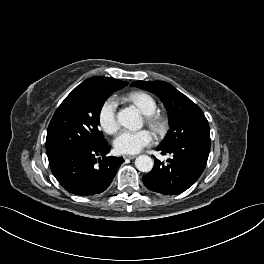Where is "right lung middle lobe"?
<instances>
[{
  "mask_svg": "<svg viewBox=\"0 0 264 264\" xmlns=\"http://www.w3.org/2000/svg\"><path fill=\"white\" fill-rule=\"evenodd\" d=\"M118 88L79 85L61 103L47 130V156L72 146L100 147L106 144L99 130V115L105 100Z\"/></svg>",
  "mask_w": 264,
  "mask_h": 264,
  "instance_id": "1",
  "label": "right lung middle lobe"
}]
</instances>
